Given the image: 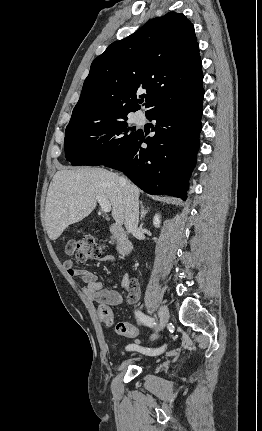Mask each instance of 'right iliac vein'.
Returning a JSON list of instances; mask_svg holds the SVG:
<instances>
[{
    "label": "right iliac vein",
    "mask_w": 262,
    "mask_h": 431,
    "mask_svg": "<svg viewBox=\"0 0 262 431\" xmlns=\"http://www.w3.org/2000/svg\"><path fill=\"white\" fill-rule=\"evenodd\" d=\"M169 310L165 307V306H161L159 308V325L156 329V332L150 337V340H153L159 331H161L167 324L168 320H169Z\"/></svg>",
    "instance_id": "obj_1"
}]
</instances>
